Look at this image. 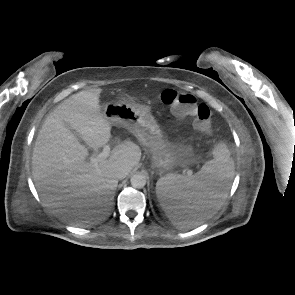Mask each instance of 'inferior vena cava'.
Here are the masks:
<instances>
[{
	"mask_svg": "<svg viewBox=\"0 0 295 295\" xmlns=\"http://www.w3.org/2000/svg\"><path fill=\"white\" fill-rule=\"evenodd\" d=\"M129 173L128 167H118L115 170V177L117 179H124Z\"/></svg>",
	"mask_w": 295,
	"mask_h": 295,
	"instance_id": "inferior-vena-cava-1",
	"label": "inferior vena cava"
}]
</instances>
